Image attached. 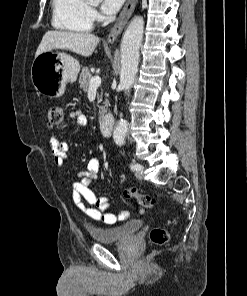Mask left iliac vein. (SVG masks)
<instances>
[{"label": "left iliac vein", "instance_id": "left-iliac-vein-1", "mask_svg": "<svg viewBox=\"0 0 247 296\" xmlns=\"http://www.w3.org/2000/svg\"><path fill=\"white\" fill-rule=\"evenodd\" d=\"M135 176L139 180H141L143 178V168L142 167L136 171Z\"/></svg>", "mask_w": 247, "mask_h": 296}]
</instances>
